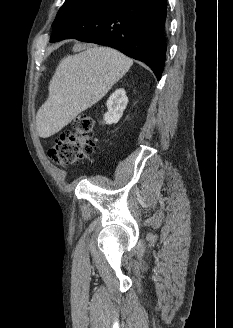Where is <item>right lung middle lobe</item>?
I'll use <instances>...</instances> for the list:
<instances>
[{
	"instance_id": "1",
	"label": "right lung middle lobe",
	"mask_w": 233,
	"mask_h": 328,
	"mask_svg": "<svg viewBox=\"0 0 233 328\" xmlns=\"http://www.w3.org/2000/svg\"><path fill=\"white\" fill-rule=\"evenodd\" d=\"M94 0H66L62 8L58 12L53 24L58 22L60 19L72 14L73 12L87 6Z\"/></svg>"
}]
</instances>
